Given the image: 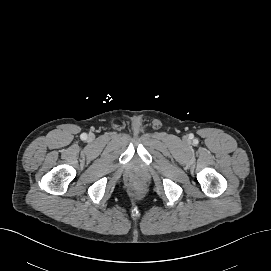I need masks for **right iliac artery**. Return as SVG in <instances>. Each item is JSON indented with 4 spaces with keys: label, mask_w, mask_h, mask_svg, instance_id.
<instances>
[{
    "label": "right iliac artery",
    "mask_w": 271,
    "mask_h": 271,
    "mask_svg": "<svg viewBox=\"0 0 271 271\" xmlns=\"http://www.w3.org/2000/svg\"><path fill=\"white\" fill-rule=\"evenodd\" d=\"M81 138H82V139H86V138H87V135H86V134H82V135H81Z\"/></svg>",
    "instance_id": "82829eb1"
}]
</instances>
